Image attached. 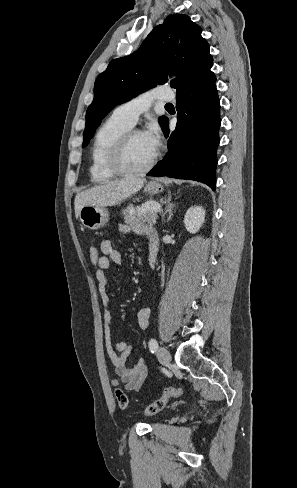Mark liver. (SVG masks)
<instances>
[{
    "instance_id": "liver-1",
    "label": "liver",
    "mask_w": 297,
    "mask_h": 488,
    "mask_svg": "<svg viewBox=\"0 0 297 488\" xmlns=\"http://www.w3.org/2000/svg\"><path fill=\"white\" fill-rule=\"evenodd\" d=\"M145 183L146 179L141 176H127L84 190L75 198V214L78 216L80 209L85 205L97 207L117 205L138 192Z\"/></svg>"
}]
</instances>
